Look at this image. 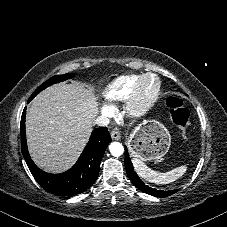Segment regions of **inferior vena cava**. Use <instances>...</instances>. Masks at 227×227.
I'll use <instances>...</instances> for the list:
<instances>
[{
  "label": "inferior vena cava",
  "instance_id": "1",
  "mask_svg": "<svg viewBox=\"0 0 227 227\" xmlns=\"http://www.w3.org/2000/svg\"><path fill=\"white\" fill-rule=\"evenodd\" d=\"M109 122H110V120H109L108 117L101 115V116L96 118L94 123L98 126L105 127L109 124Z\"/></svg>",
  "mask_w": 227,
  "mask_h": 227
}]
</instances>
